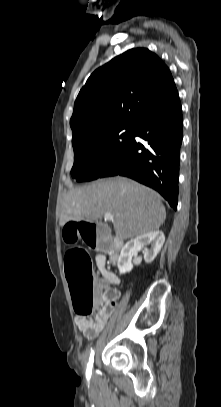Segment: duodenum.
Returning <instances> with one entry per match:
<instances>
[{"label":"duodenum","instance_id":"1","mask_svg":"<svg viewBox=\"0 0 221 407\" xmlns=\"http://www.w3.org/2000/svg\"><path fill=\"white\" fill-rule=\"evenodd\" d=\"M114 243H115V248L111 252V256H110V259L112 262H116V260L118 258V251L120 250V248L122 246V241L118 238L114 239Z\"/></svg>","mask_w":221,"mask_h":407}]
</instances>
